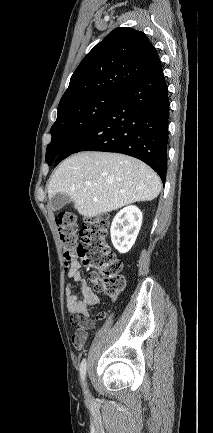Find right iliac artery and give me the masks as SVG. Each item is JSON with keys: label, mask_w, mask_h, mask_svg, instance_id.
Instances as JSON below:
<instances>
[{"label": "right iliac artery", "mask_w": 213, "mask_h": 433, "mask_svg": "<svg viewBox=\"0 0 213 433\" xmlns=\"http://www.w3.org/2000/svg\"><path fill=\"white\" fill-rule=\"evenodd\" d=\"M87 362L85 359L82 360L80 365V376L81 380L84 382L86 376Z\"/></svg>", "instance_id": "1"}]
</instances>
